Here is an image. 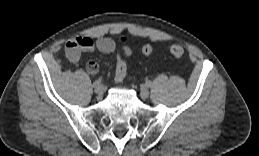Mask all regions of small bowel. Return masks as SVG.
<instances>
[{
    "instance_id": "obj_1",
    "label": "small bowel",
    "mask_w": 259,
    "mask_h": 156,
    "mask_svg": "<svg viewBox=\"0 0 259 156\" xmlns=\"http://www.w3.org/2000/svg\"><path fill=\"white\" fill-rule=\"evenodd\" d=\"M115 49V42L108 37H101L96 40L89 37H76L70 39L65 47L66 55L73 63L79 62L82 52L93 53L95 51H100L104 54H112ZM123 50L126 55L130 54V49L128 47H124ZM87 71L91 75H96L98 72V64L94 61H90L87 64Z\"/></svg>"
}]
</instances>
